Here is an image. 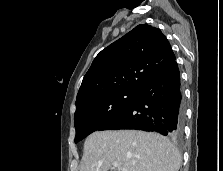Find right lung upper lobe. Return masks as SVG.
Instances as JSON below:
<instances>
[{"instance_id":"right-lung-upper-lobe-1","label":"right lung upper lobe","mask_w":223,"mask_h":171,"mask_svg":"<svg viewBox=\"0 0 223 171\" xmlns=\"http://www.w3.org/2000/svg\"><path fill=\"white\" fill-rule=\"evenodd\" d=\"M174 62L165 35L158 28L140 24L96 56L83 78L76 109L110 93L138 92Z\"/></svg>"}]
</instances>
